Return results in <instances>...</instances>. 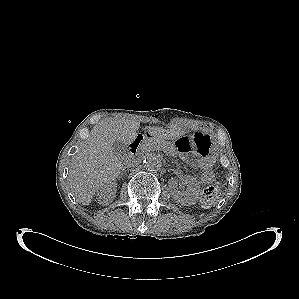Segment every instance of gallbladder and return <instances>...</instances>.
Returning <instances> with one entry per match:
<instances>
[{"label": "gallbladder", "instance_id": "bac80fb5", "mask_svg": "<svg viewBox=\"0 0 299 299\" xmlns=\"http://www.w3.org/2000/svg\"><path fill=\"white\" fill-rule=\"evenodd\" d=\"M113 152L118 155L119 157H125L129 154V150L127 145H125L124 143L120 142V141H115L113 143Z\"/></svg>", "mask_w": 299, "mask_h": 299}]
</instances>
